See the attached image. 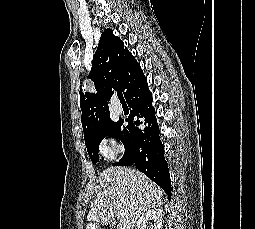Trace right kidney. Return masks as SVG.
Returning <instances> with one entry per match:
<instances>
[{"label": "right kidney", "mask_w": 255, "mask_h": 229, "mask_svg": "<svg viewBox=\"0 0 255 229\" xmlns=\"http://www.w3.org/2000/svg\"><path fill=\"white\" fill-rule=\"evenodd\" d=\"M153 221V225L149 229H161L162 227V210L160 208L150 209L139 218L136 229H148L147 224Z\"/></svg>", "instance_id": "right-kidney-1"}]
</instances>
